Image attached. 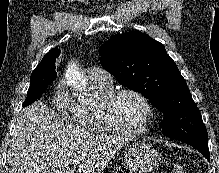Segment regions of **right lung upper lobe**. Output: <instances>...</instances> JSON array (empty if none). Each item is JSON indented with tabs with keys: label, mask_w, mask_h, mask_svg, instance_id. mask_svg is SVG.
Returning a JSON list of instances; mask_svg holds the SVG:
<instances>
[{
	"label": "right lung upper lobe",
	"mask_w": 219,
	"mask_h": 173,
	"mask_svg": "<svg viewBox=\"0 0 219 173\" xmlns=\"http://www.w3.org/2000/svg\"><path fill=\"white\" fill-rule=\"evenodd\" d=\"M60 52L61 51L58 48H53L52 50H50L44 56L42 61L38 64V66L35 68L33 72L35 73L38 71H44L47 73L57 75V73L55 72V60L59 56Z\"/></svg>",
	"instance_id": "cb5924a9"
}]
</instances>
